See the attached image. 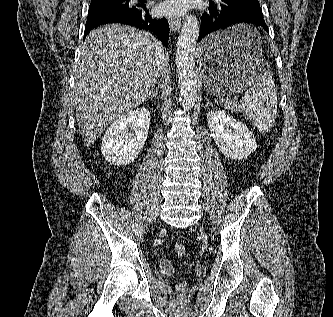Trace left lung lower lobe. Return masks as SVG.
Returning a JSON list of instances; mask_svg holds the SVG:
<instances>
[{"instance_id":"0a47b994","label":"left lung lower lobe","mask_w":333,"mask_h":317,"mask_svg":"<svg viewBox=\"0 0 333 317\" xmlns=\"http://www.w3.org/2000/svg\"><path fill=\"white\" fill-rule=\"evenodd\" d=\"M243 23L259 25L268 32L258 0L211 1L209 8L201 18L198 41L212 32ZM211 53L218 56L224 54L225 50L221 47H214L211 49Z\"/></svg>"}]
</instances>
